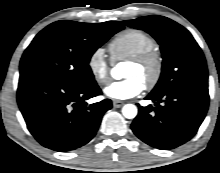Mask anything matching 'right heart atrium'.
<instances>
[{"mask_svg": "<svg viewBox=\"0 0 220 173\" xmlns=\"http://www.w3.org/2000/svg\"><path fill=\"white\" fill-rule=\"evenodd\" d=\"M87 66L98 84L105 85L110 81V63L106 58L103 48H96L90 54Z\"/></svg>", "mask_w": 220, "mask_h": 173, "instance_id": "right-heart-atrium-1", "label": "right heart atrium"}]
</instances>
